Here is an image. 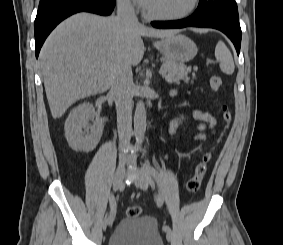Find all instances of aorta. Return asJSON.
Returning a JSON list of instances; mask_svg holds the SVG:
<instances>
[{"label": "aorta", "mask_w": 283, "mask_h": 245, "mask_svg": "<svg viewBox=\"0 0 283 245\" xmlns=\"http://www.w3.org/2000/svg\"><path fill=\"white\" fill-rule=\"evenodd\" d=\"M146 131V110L143 101H139L134 114V134L137 143H142Z\"/></svg>", "instance_id": "762f6f07"}]
</instances>
